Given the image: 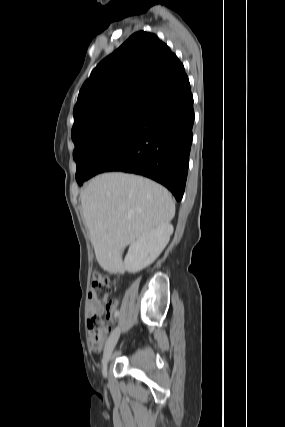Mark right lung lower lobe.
<instances>
[{
  "mask_svg": "<svg viewBox=\"0 0 285 427\" xmlns=\"http://www.w3.org/2000/svg\"><path fill=\"white\" fill-rule=\"evenodd\" d=\"M193 123V96L188 77L183 74L150 96L132 126L87 179L108 171L135 173L161 183L180 201Z\"/></svg>",
  "mask_w": 285,
  "mask_h": 427,
  "instance_id": "1",
  "label": "right lung lower lobe"
}]
</instances>
